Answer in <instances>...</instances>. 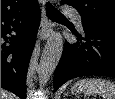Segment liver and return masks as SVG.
<instances>
[{
    "label": "liver",
    "instance_id": "6515ba94",
    "mask_svg": "<svg viewBox=\"0 0 115 99\" xmlns=\"http://www.w3.org/2000/svg\"><path fill=\"white\" fill-rule=\"evenodd\" d=\"M1 99H14V95L1 89Z\"/></svg>",
    "mask_w": 115,
    "mask_h": 99
}]
</instances>
